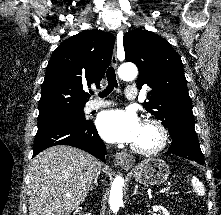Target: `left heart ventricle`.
<instances>
[{"label": "left heart ventricle", "mask_w": 221, "mask_h": 215, "mask_svg": "<svg viewBox=\"0 0 221 215\" xmlns=\"http://www.w3.org/2000/svg\"><path fill=\"white\" fill-rule=\"evenodd\" d=\"M158 141V134L151 126L141 125V130L134 144L142 147H152Z\"/></svg>", "instance_id": "obj_1"}]
</instances>
